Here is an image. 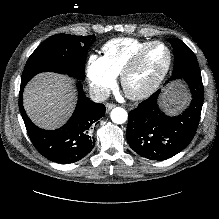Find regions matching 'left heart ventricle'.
<instances>
[{
    "instance_id": "b2bd125f",
    "label": "left heart ventricle",
    "mask_w": 219,
    "mask_h": 219,
    "mask_svg": "<svg viewBox=\"0 0 219 219\" xmlns=\"http://www.w3.org/2000/svg\"><path fill=\"white\" fill-rule=\"evenodd\" d=\"M167 54L162 46H154L143 58L137 69L130 76L128 86L132 90H139L147 85L163 68Z\"/></svg>"
}]
</instances>
